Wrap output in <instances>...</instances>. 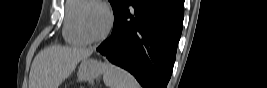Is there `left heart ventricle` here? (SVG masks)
<instances>
[{
    "label": "left heart ventricle",
    "instance_id": "b2bd125f",
    "mask_svg": "<svg viewBox=\"0 0 267 88\" xmlns=\"http://www.w3.org/2000/svg\"><path fill=\"white\" fill-rule=\"evenodd\" d=\"M83 25L90 37L101 35L107 26L106 12L99 6L86 7L83 13Z\"/></svg>",
    "mask_w": 267,
    "mask_h": 88
}]
</instances>
